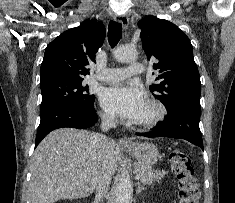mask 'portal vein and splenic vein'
<instances>
[{
  "label": "portal vein and splenic vein",
  "instance_id": "portal-vein-and-splenic-vein-1",
  "mask_svg": "<svg viewBox=\"0 0 235 203\" xmlns=\"http://www.w3.org/2000/svg\"><path fill=\"white\" fill-rule=\"evenodd\" d=\"M135 179H136V180H139V179H140V175H139V174H136Z\"/></svg>",
  "mask_w": 235,
  "mask_h": 203
}]
</instances>
